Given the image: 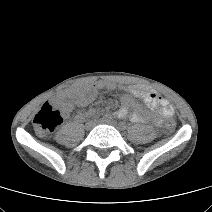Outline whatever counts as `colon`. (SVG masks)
<instances>
[{"label": "colon", "instance_id": "colon-1", "mask_svg": "<svg viewBox=\"0 0 212 212\" xmlns=\"http://www.w3.org/2000/svg\"><path fill=\"white\" fill-rule=\"evenodd\" d=\"M63 121L61 110L52 102L48 101L42 105L33 118V127L35 131L41 135L46 136L53 132ZM168 130H173L176 122L168 119L165 124Z\"/></svg>", "mask_w": 212, "mask_h": 212}]
</instances>
